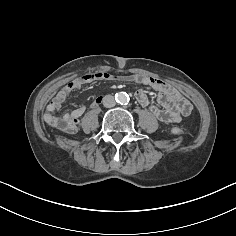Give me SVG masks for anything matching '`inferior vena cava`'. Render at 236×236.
Returning <instances> with one entry per match:
<instances>
[{
  "label": "inferior vena cava",
  "mask_w": 236,
  "mask_h": 236,
  "mask_svg": "<svg viewBox=\"0 0 236 236\" xmlns=\"http://www.w3.org/2000/svg\"><path fill=\"white\" fill-rule=\"evenodd\" d=\"M103 105H104L106 108L114 107V106L116 105V100H115L114 96H112V95H106V96L103 98Z\"/></svg>",
  "instance_id": "602c4592"
}]
</instances>
